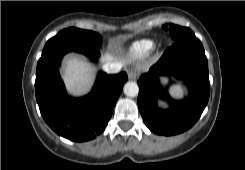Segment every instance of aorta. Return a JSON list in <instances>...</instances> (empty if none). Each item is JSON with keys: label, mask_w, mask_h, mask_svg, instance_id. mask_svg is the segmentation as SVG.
I'll list each match as a JSON object with an SVG mask.
<instances>
[{"label": "aorta", "mask_w": 245, "mask_h": 170, "mask_svg": "<svg viewBox=\"0 0 245 170\" xmlns=\"http://www.w3.org/2000/svg\"><path fill=\"white\" fill-rule=\"evenodd\" d=\"M124 94L128 97H135L138 95L139 87L135 82H127L123 88Z\"/></svg>", "instance_id": "obj_1"}]
</instances>
